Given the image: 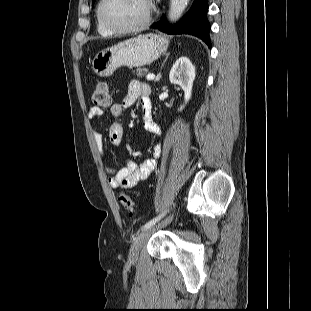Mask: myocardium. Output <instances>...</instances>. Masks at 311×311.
<instances>
[{"label": "myocardium", "instance_id": "f54148a6", "mask_svg": "<svg viewBox=\"0 0 311 311\" xmlns=\"http://www.w3.org/2000/svg\"><path fill=\"white\" fill-rule=\"evenodd\" d=\"M108 0H100L99 5H98V16L102 24L108 28L110 31L113 33L117 34H131V33H137L142 30H144L150 23L151 17H152V12H153V5L151 0H146L147 2V13L143 20L139 22L138 24L131 26V27H119L110 22L106 16H105V5L107 4Z\"/></svg>", "mask_w": 311, "mask_h": 311}]
</instances>
